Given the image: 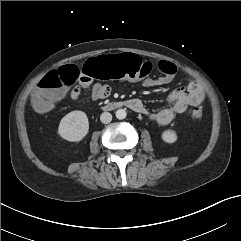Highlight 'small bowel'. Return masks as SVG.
<instances>
[{"label": "small bowel", "instance_id": "1", "mask_svg": "<svg viewBox=\"0 0 241 241\" xmlns=\"http://www.w3.org/2000/svg\"><path fill=\"white\" fill-rule=\"evenodd\" d=\"M172 77L164 75L158 78H147L143 80L146 86H160L168 84ZM91 78L84 75L81 70V75L78 78V84L74 86L69 95L73 100H80L84 90L90 89V99L94 102L107 98L111 93V88L108 84L95 83L93 85ZM205 94L202 84L199 81H192L186 86L174 89L168 95L169 106L156 112H150L146 109L141 100L132 98L128 100L130 108L135 112L148 116L152 121L167 125L176 117L182 115L189 107H198L204 100Z\"/></svg>", "mask_w": 241, "mask_h": 241}]
</instances>
